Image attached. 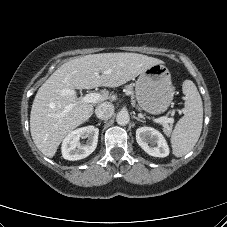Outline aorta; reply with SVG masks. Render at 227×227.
<instances>
[{"instance_id": "aorta-1", "label": "aorta", "mask_w": 227, "mask_h": 227, "mask_svg": "<svg viewBox=\"0 0 227 227\" xmlns=\"http://www.w3.org/2000/svg\"><path fill=\"white\" fill-rule=\"evenodd\" d=\"M130 121V116L128 114L127 111H120L118 112L117 116H116V122L121 125V126H125L129 123Z\"/></svg>"}]
</instances>
